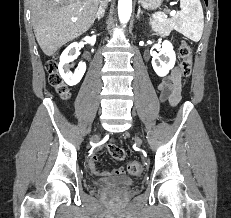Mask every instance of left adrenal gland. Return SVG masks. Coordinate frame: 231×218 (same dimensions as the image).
Returning <instances> with one entry per match:
<instances>
[{
  "mask_svg": "<svg viewBox=\"0 0 231 218\" xmlns=\"http://www.w3.org/2000/svg\"><path fill=\"white\" fill-rule=\"evenodd\" d=\"M140 14H142V11H141V8H140V6H139V8H138V12H137V19H139V18H140Z\"/></svg>",
  "mask_w": 231,
  "mask_h": 218,
  "instance_id": "obj_1",
  "label": "left adrenal gland"
}]
</instances>
